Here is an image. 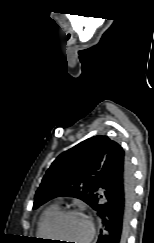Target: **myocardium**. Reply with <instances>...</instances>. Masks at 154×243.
<instances>
[{"label":"myocardium","instance_id":"1","mask_svg":"<svg viewBox=\"0 0 154 243\" xmlns=\"http://www.w3.org/2000/svg\"><path fill=\"white\" fill-rule=\"evenodd\" d=\"M71 215H78V216H81V217H83L87 220L89 229H88L87 236H86L85 240L83 241V243H90L92 241V239L94 238V235H95L94 222L89 215H87L82 210H78V209H63V210H60L49 222V225H48L49 237L55 238L54 230H55L57 224L63 218H65L67 216H71Z\"/></svg>","mask_w":154,"mask_h":243}]
</instances>
